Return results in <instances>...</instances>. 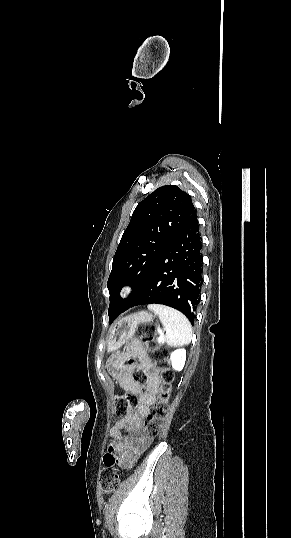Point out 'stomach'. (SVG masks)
<instances>
[{"label":"stomach","instance_id":"0dacf381","mask_svg":"<svg viewBox=\"0 0 291 538\" xmlns=\"http://www.w3.org/2000/svg\"><path fill=\"white\" fill-rule=\"evenodd\" d=\"M153 321V316L146 312H138L119 320L109 332L108 351L116 352L123 344L130 340L141 323Z\"/></svg>","mask_w":291,"mask_h":538}]
</instances>
